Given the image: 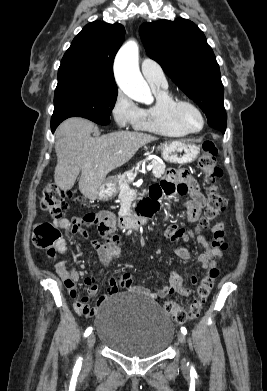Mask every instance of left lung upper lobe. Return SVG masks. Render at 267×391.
<instances>
[{
    "label": "left lung upper lobe",
    "mask_w": 267,
    "mask_h": 391,
    "mask_svg": "<svg viewBox=\"0 0 267 391\" xmlns=\"http://www.w3.org/2000/svg\"><path fill=\"white\" fill-rule=\"evenodd\" d=\"M139 33L147 55L199 105L209 125L224 133L227 115L220 69L203 32L178 18L144 23Z\"/></svg>",
    "instance_id": "1"
}]
</instances>
